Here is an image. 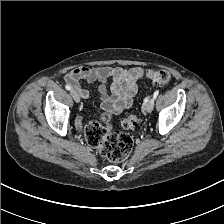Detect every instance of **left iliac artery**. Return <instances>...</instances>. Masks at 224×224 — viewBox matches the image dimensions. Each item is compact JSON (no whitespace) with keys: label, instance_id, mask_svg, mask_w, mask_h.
Listing matches in <instances>:
<instances>
[{"label":"left iliac artery","instance_id":"left-iliac-artery-1","mask_svg":"<svg viewBox=\"0 0 224 224\" xmlns=\"http://www.w3.org/2000/svg\"><path fill=\"white\" fill-rule=\"evenodd\" d=\"M158 94H159V90H156V91L154 92V94H153V99H156V97L158 96Z\"/></svg>","mask_w":224,"mask_h":224}]
</instances>
